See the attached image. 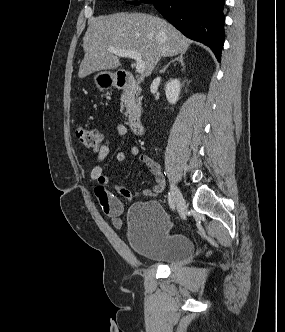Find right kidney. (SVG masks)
Listing matches in <instances>:
<instances>
[{
    "label": "right kidney",
    "instance_id": "obj_1",
    "mask_svg": "<svg viewBox=\"0 0 285 332\" xmlns=\"http://www.w3.org/2000/svg\"><path fill=\"white\" fill-rule=\"evenodd\" d=\"M180 90L181 84L178 79H171L167 82L165 87V93L169 103L176 104L179 99Z\"/></svg>",
    "mask_w": 285,
    "mask_h": 332
}]
</instances>
